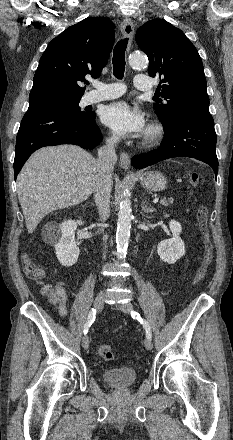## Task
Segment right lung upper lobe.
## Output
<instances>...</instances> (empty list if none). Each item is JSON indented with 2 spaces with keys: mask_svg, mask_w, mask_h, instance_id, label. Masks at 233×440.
I'll return each instance as SVG.
<instances>
[{
  "mask_svg": "<svg viewBox=\"0 0 233 440\" xmlns=\"http://www.w3.org/2000/svg\"><path fill=\"white\" fill-rule=\"evenodd\" d=\"M114 24L89 17L55 37L43 53L29 96V106L56 99L81 98L85 75L99 77L114 44Z\"/></svg>",
  "mask_w": 233,
  "mask_h": 440,
  "instance_id": "right-lung-upper-lobe-1",
  "label": "right lung upper lobe"
}]
</instances>
